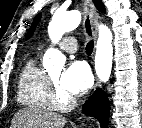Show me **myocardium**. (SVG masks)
Returning <instances> with one entry per match:
<instances>
[{
  "label": "myocardium",
  "mask_w": 142,
  "mask_h": 128,
  "mask_svg": "<svg viewBox=\"0 0 142 128\" xmlns=\"http://www.w3.org/2000/svg\"><path fill=\"white\" fill-rule=\"evenodd\" d=\"M49 83L51 106L57 110L70 109L74 104V100L66 95L52 78H49Z\"/></svg>",
  "instance_id": "f54148a6"
}]
</instances>
